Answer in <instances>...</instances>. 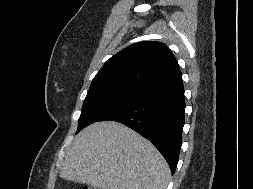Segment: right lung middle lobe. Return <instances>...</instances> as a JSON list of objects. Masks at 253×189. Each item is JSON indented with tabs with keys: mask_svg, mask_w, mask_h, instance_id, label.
I'll return each mask as SVG.
<instances>
[{
	"mask_svg": "<svg viewBox=\"0 0 253 189\" xmlns=\"http://www.w3.org/2000/svg\"><path fill=\"white\" fill-rule=\"evenodd\" d=\"M147 92L128 86H107L89 90L82 106L76 133L106 115L136 102Z\"/></svg>",
	"mask_w": 253,
	"mask_h": 189,
	"instance_id": "obj_1",
	"label": "right lung middle lobe"
}]
</instances>
